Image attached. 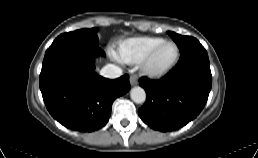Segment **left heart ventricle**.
I'll return each instance as SVG.
<instances>
[{"label":"left heart ventricle","mask_w":258,"mask_h":158,"mask_svg":"<svg viewBox=\"0 0 258 158\" xmlns=\"http://www.w3.org/2000/svg\"><path fill=\"white\" fill-rule=\"evenodd\" d=\"M176 50L172 44L162 45L150 62V67L159 70L168 65L175 57Z\"/></svg>","instance_id":"b2bd125f"}]
</instances>
